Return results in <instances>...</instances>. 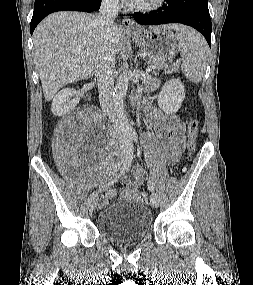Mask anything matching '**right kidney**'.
<instances>
[{
	"label": "right kidney",
	"instance_id": "obj_1",
	"mask_svg": "<svg viewBox=\"0 0 253 285\" xmlns=\"http://www.w3.org/2000/svg\"><path fill=\"white\" fill-rule=\"evenodd\" d=\"M75 96L69 100L70 97ZM79 96L76 90L65 88L58 92L52 102L51 111L54 115L63 116L71 111L79 102Z\"/></svg>",
	"mask_w": 253,
	"mask_h": 285
}]
</instances>
